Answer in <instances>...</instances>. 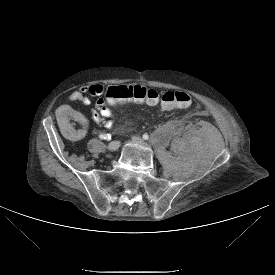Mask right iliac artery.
<instances>
[{"mask_svg": "<svg viewBox=\"0 0 275 275\" xmlns=\"http://www.w3.org/2000/svg\"><path fill=\"white\" fill-rule=\"evenodd\" d=\"M100 139H104V140H110L111 139V135L110 134H100L99 135Z\"/></svg>", "mask_w": 275, "mask_h": 275, "instance_id": "obj_1", "label": "right iliac artery"}]
</instances>
